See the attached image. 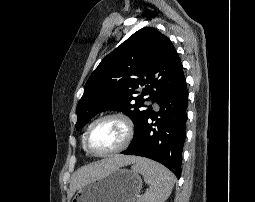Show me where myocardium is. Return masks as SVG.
<instances>
[{"mask_svg":"<svg viewBox=\"0 0 255 202\" xmlns=\"http://www.w3.org/2000/svg\"><path fill=\"white\" fill-rule=\"evenodd\" d=\"M107 120H117L119 121L125 129V136L124 139L122 141V143L114 148L113 150H110L108 152H103V153H99V152H95L89 144V137L90 134L92 132V130L101 122L107 121ZM135 134V126L133 121L125 114L123 113H110V114H106L98 119H96L87 129L85 136H84V147L85 149L92 155L94 156H98V157H106V156H111L114 155L116 153H119L121 151H123L124 149H126L129 144L131 143V141L133 140Z\"/></svg>","mask_w":255,"mask_h":202,"instance_id":"myocardium-1","label":"myocardium"}]
</instances>
